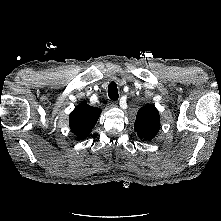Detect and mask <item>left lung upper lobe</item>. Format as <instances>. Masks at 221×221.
<instances>
[{"mask_svg":"<svg viewBox=\"0 0 221 221\" xmlns=\"http://www.w3.org/2000/svg\"><path fill=\"white\" fill-rule=\"evenodd\" d=\"M134 129L142 141H151L160 129V115L153 105L138 110Z\"/></svg>","mask_w":221,"mask_h":221,"instance_id":"1","label":"left lung upper lobe"}]
</instances>
